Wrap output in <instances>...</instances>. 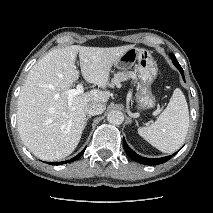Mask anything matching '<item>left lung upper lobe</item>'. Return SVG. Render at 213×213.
<instances>
[{"mask_svg":"<svg viewBox=\"0 0 213 213\" xmlns=\"http://www.w3.org/2000/svg\"><path fill=\"white\" fill-rule=\"evenodd\" d=\"M171 55V59L173 61V64L177 67V68H181L180 64L178 63V61L176 60V57L173 55V54H170Z\"/></svg>","mask_w":213,"mask_h":213,"instance_id":"obj_1","label":"left lung upper lobe"}]
</instances>
